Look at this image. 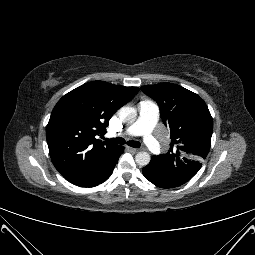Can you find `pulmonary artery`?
<instances>
[{
    "instance_id": "e3ab8cb5",
    "label": "pulmonary artery",
    "mask_w": 255,
    "mask_h": 255,
    "mask_svg": "<svg viewBox=\"0 0 255 255\" xmlns=\"http://www.w3.org/2000/svg\"><path fill=\"white\" fill-rule=\"evenodd\" d=\"M159 118V107L150 100H143L139 104V116L135 123L125 128L122 135L143 136V140L148 149L158 154L161 146L157 139L152 135Z\"/></svg>"
}]
</instances>
